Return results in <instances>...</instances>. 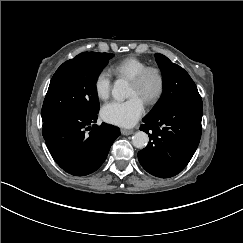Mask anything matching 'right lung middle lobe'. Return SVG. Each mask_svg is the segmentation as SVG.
<instances>
[{
	"instance_id": "1",
	"label": "right lung middle lobe",
	"mask_w": 243,
	"mask_h": 243,
	"mask_svg": "<svg viewBox=\"0 0 243 243\" xmlns=\"http://www.w3.org/2000/svg\"><path fill=\"white\" fill-rule=\"evenodd\" d=\"M113 56L83 52L63 63L51 79L41 111L42 119L68 110L98 113L96 81Z\"/></svg>"
}]
</instances>
